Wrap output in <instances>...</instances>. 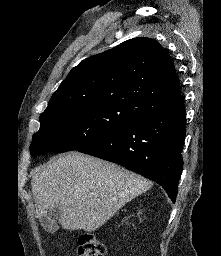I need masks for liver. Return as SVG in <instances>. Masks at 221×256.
<instances>
[{
    "instance_id": "liver-1",
    "label": "liver",
    "mask_w": 221,
    "mask_h": 256,
    "mask_svg": "<svg viewBox=\"0 0 221 256\" xmlns=\"http://www.w3.org/2000/svg\"><path fill=\"white\" fill-rule=\"evenodd\" d=\"M152 182L114 163L78 152L62 154L33 173L36 215L60 210L63 229L95 231Z\"/></svg>"
}]
</instances>
